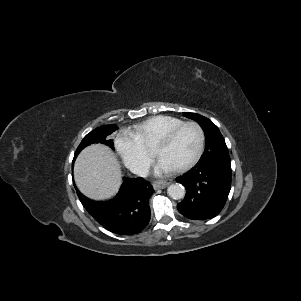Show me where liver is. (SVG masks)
<instances>
[{
  "label": "liver",
  "mask_w": 301,
  "mask_h": 301,
  "mask_svg": "<svg viewBox=\"0 0 301 301\" xmlns=\"http://www.w3.org/2000/svg\"><path fill=\"white\" fill-rule=\"evenodd\" d=\"M74 179L86 197L93 200L108 199L120 188V164L107 146L92 144L78 155L74 165Z\"/></svg>",
  "instance_id": "1"
}]
</instances>
